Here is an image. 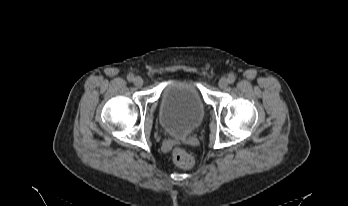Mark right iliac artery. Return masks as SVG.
I'll return each instance as SVG.
<instances>
[{"instance_id": "1", "label": "right iliac artery", "mask_w": 348, "mask_h": 206, "mask_svg": "<svg viewBox=\"0 0 348 206\" xmlns=\"http://www.w3.org/2000/svg\"><path fill=\"white\" fill-rule=\"evenodd\" d=\"M127 80H128L129 82H132V81L134 80V76H133L132 74H129V75L127 76Z\"/></svg>"}]
</instances>
